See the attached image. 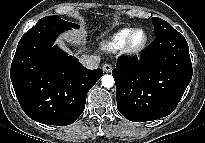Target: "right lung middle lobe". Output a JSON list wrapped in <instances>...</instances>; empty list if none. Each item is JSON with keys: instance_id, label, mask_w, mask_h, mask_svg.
<instances>
[{"instance_id": "obj_1", "label": "right lung middle lobe", "mask_w": 205, "mask_h": 143, "mask_svg": "<svg viewBox=\"0 0 205 143\" xmlns=\"http://www.w3.org/2000/svg\"><path fill=\"white\" fill-rule=\"evenodd\" d=\"M42 19L43 20L56 21V22H59V23L65 25L66 27H73V28H78L79 27L77 24L65 21V20L61 19L59 16H56V15L55 16H47V17H44Z\"/></svg>"}]
</instances>
